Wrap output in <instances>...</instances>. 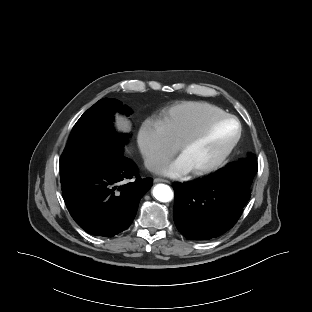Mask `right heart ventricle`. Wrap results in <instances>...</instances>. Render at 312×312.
<instances>
[{"label":"right heart ventricle","mask_w":312,"mask_h":312,"mask_svg":"<svg viewBox=\"0 0 312 312\" xmlns=\"http://www.w3.org/2000/svg\"><path fill=\"white\" fill-rule=\"evenodd\" d=\"M224 114L226 112L216 105L207 102L187 101L166 109L160 120L171 141L178 144L210 119Z\"/></svg>","instance_id":"obj_1"}]
</instances>
